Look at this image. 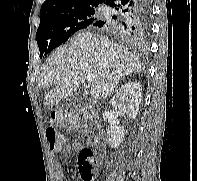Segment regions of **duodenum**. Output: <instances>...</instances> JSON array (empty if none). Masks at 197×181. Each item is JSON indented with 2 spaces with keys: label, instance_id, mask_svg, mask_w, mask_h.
I'll return each instance as SVG.
<instances>
[{
  "label": "duodenum",
  "instance_id": "410a0bca",
  "mask_svg": "<svg viewBox=\"0 0 197 181\" xmlns=\"http://www.w3.org/2000/svg\"><path fill=\"white\" fill-rule=\"evenodd\" d=\"M85 115L90 119L92 117V114L90 111H85Z\"/></svg>",
  "mask_w": 197,
  "mask_h": 181
}]
</instances>
